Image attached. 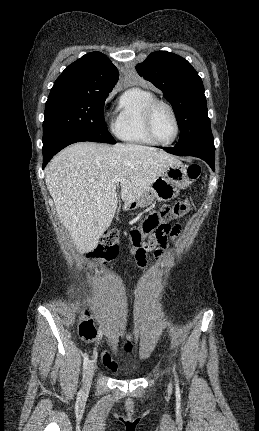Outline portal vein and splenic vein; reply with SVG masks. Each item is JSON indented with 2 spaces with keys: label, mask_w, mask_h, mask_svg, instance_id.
<instances>
[{
  "label": "portal vein and splenic vein",
  "mask_w": 259,
  "mask_h": 431,
  "mask_svg": "<svg viewBox=\"0 0 259 431\" xmlns=\"http://www.w3.org/2000/svg\"><path fill=\"white\" fill-rule=\"evenodd\" d=\"M122 180H123L122 175H117L115 178H113V181H114V182H120V181H122Z\"/></svg>",
  "instance_id": "1"
}]
</instances>
